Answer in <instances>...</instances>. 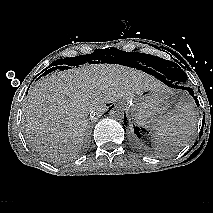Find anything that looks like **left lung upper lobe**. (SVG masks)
Wrapping results in <instances>:
<instances>
[{
    "label": "left lung upper lobe",
    "mask_w": 213,
    "mask_h": 213,
    "mask_svg": "<svg viewBox=\"0 0 213 213\" xmlns=\"http://www.w3.org/2000/svg\"><path fill=\"white\" fill-rule=\"evenodd\" d=\"M154 60L155 68L168 75L177 84H183L187 80L185 72L176 63L164 60L159 57H151Z\"/></svg>",
    "instance_id": "5c2ea615"
}]
</instances>
